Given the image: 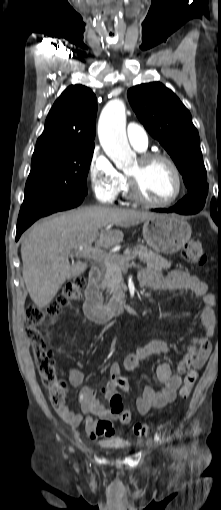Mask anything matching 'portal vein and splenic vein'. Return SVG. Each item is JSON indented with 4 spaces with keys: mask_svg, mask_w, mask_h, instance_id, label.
<instances>
[{
    "mask_svg": "<svg viewBox=\"0 0 221 510\" xmlns=\"http://www.w3.org/2000/svg\"><path fill=\"white\" fill-rule=\"evenodd\" d=\"M83 248L80 247L79 248V251H82ZM83 256L85 258H88V259H93V260H96V261H99V262H103V263H106V264H110L111 260L113 259L114 257V254H111V253H106L105 251L101 250V249H98V248H92V247H88L84 252H83ZM135 258V256H132L128 259H126L127 261L128 260H133Z\"/></svg>",
    "mask_w": 221,
    "mask_h": 510,
    "instance_id": "portal-vein-and-splenic-vein-1",
    "label": "portal vein and splenic vein"
}]
</instances>
